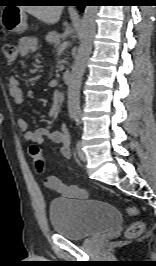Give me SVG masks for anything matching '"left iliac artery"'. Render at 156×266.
Returning <instances> with one entry per match:
<instances>
[{
  "label": "left iliac artery",
  "instance_id": "44dca946",
  "mask_svg": "<svg viewBox=\"0 0 156 266\" xmlns=\"http://www.w3.org/2000/svg\"><path fill=\"white\" fill-rule=\"evenodd\" d=\"M74 119L76 121V124L79 125L80 124V115H75Z\"/></svg>",
  "mask_w": 156,
  "mask_h": 266
}]
</instances>
